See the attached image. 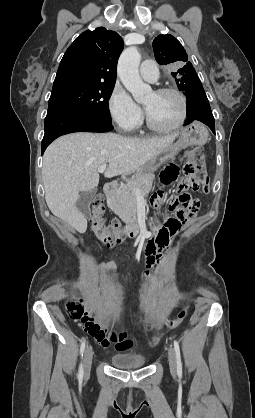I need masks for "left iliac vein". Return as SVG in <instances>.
Here are the masks:
<instances>
[{
    "label": "left iliac vein",
    "mask_w": 255,
    "mask_h": 418,
    "mask_svg": "<svg viewBox=\"0 0 255 418\" xmlns=\"http://www.w3.org/2000/svg\"><path fill=\"white\" fill-rule=\"evenodd\" d=\"M168 360H169L170 372L171 374L175 375L177 371V361H176L175 350L172 346H170L168 349Z\"/></svg>",
    "instance_id": "obj_1"
}]
</instances>
